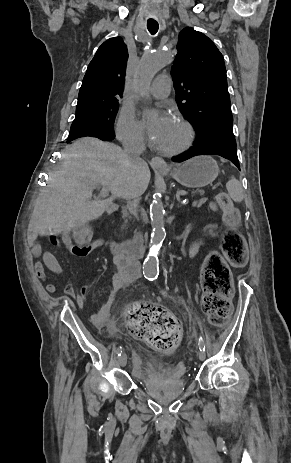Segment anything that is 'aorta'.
Masks as SVG:
<instances>
[{
    "label": "aorta",
    "mask_w": 291,
    "mask_h": 463,
    "mask_svg": "<svg viewBox=\"0 0 291 463\" xmlns=\"http://www.w3.org/2000/svg\"><path fill=\"white\" fill-rule=\"evenodd\" d=\"M172 62V53L169 51H156L146 53L139 64L136 75V87L142 97L147 95L151 82L156 73ZM164 206L159 198L153 200L150 206V220L152 234L150 239V253L145 259L143 273L146 277H155L158 274V257L156 250L165 239Z\"/></svg>",
    "instance_id": "1"
}]
</instances>
